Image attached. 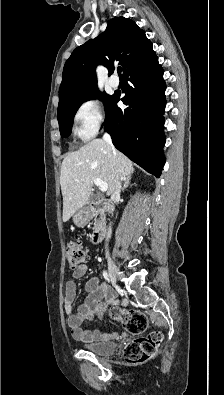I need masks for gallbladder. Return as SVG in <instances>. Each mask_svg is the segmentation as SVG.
Listing matches in <instances>:
<instances>
[{
    "instance_id": "obj_1",
    "label": "gallbladder",
    "mask_w": 224,
    "mask_h": 395,
    "mask_svg": "<svg viewBox=\"0 0 224 395\" xmlns=\"http://www.w3.org/2000/svg\"><path fill=\"white\" fill-rule=\"evenodd\" d=\"M96 200H97L96 196H91L90 199H89V201H91V202H94Z\"/></svg>"
}]
</instances>
